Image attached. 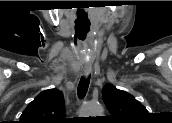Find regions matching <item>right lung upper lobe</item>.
I'll return each mask as SVG.
<instances>
[{
    "mask_svg": "<svg viewBox=\"0 0 172 123\" xmlns=\"http://www.w3.org/2000/svg\"><path fill=\"white\" fill-rule=\"evenodd\" d=\"M63 95L56 89L42 91L23 111L22 123H63L65 121Z\"/></svg>",
    "mask_w": 172,
    "mask_h": 123,
    "instance_id": "1",
    "label": "right lung upper lobe"
}]
</instances>
